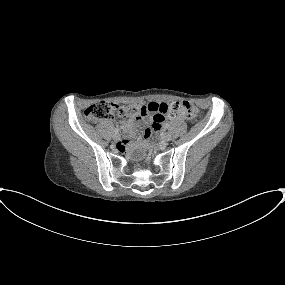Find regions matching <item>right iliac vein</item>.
Listing matches in <instances>:
<instances>
[{
    "label": "right iliac vein",
    "instance_id": "obj_1",
    "mask_svg": "<svg viewBox=\"0 0 285 285\" xmlns=\"http://www.w3.org/2000/svg\"><path fill=\"white\" fill-rule=\"evenodd\" d=\"M120 135L118 134V133H115L114 135H113V139L115 140V141H118V140H120Z\"/></svg>",
    "mask_w": 285,
    "mask_h": 285
}]
</instances>
